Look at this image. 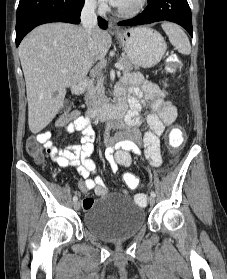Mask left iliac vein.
<instances>
[{
	"instance_id": "4c4485c4",
	"label": "left iliac vein",
	"mask_w": 227,
	"mask_h": 279,
	"mask_svg": "<svg viewBox=\"0 0 227 279\" xmlns=\"http://www.w3.org/2000/svg\"><path fill=\"white\" fill-rule=\"evenodd\" d=\"M148 203H149L151 206H153V205L155 204V197L150 196V197L148 198Z\"/></svg>"
}]
</instances>
